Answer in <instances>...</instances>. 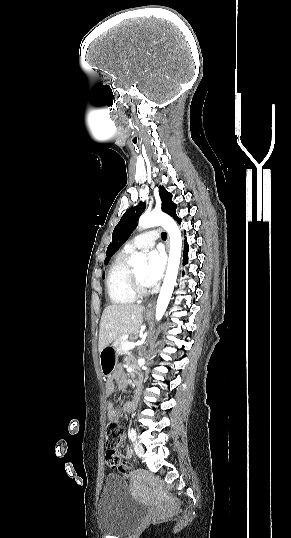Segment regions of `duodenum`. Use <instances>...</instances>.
<instances>
[{"instance_id":"410a0bca","label":"duodenum","mask_w":291,"mask_h":538,"mask_svg":"<svg viewBox=\"0 0 291 538\" xmlns=\"http://www.w3.org/2000/svg\"><path fill=\"white\" fill-rule=\"evenodd\" d=\"M133 377V381L135 382L134 386L136 388H141L143 386V383L140 381V373L133 374Z\"/></svg>"}]
</instances>
